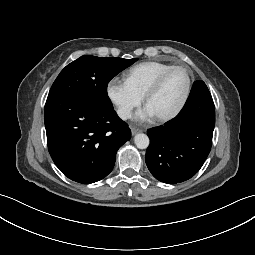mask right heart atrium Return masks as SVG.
Wrapping results in <instances>:
<instances>
[{"label": "right heart atrium", "mask_w": 255, "mask_h": 255, "mask_svg": "<svg viewBox=\"0 0 255 255\" xmlns=\"http://www.w3.org/2000/svg\"><path fill=\"white\" fill-rule=\"evenodd\" d=\"M106 92L118 116L123 120L128 119L133 110L143 101V96L136 92L126 80L118 78L108 82Z\"/></svg>", "instance_id": "d8ad5b80"}]
</instances>
